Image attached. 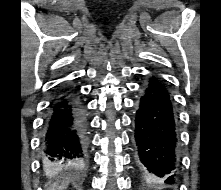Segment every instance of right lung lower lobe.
Returning <instances> with one entry per match:
<instances>
[{"mask_svg":"<svg viewBox=\"0 0 221 190\" xmlns=\"http://www.w3.org/2000/svg\"><path fill=\"white\" fill-rule=\"evenodd\" d=\"M87 150L85 117L81 102L70 88H60L44 122L42 158L59 168L80 166Z\"/></svg>","mask_w":221,"mask_h":190,"instance_id":"1","label":"right lung lower lobe"}]
</instances>
